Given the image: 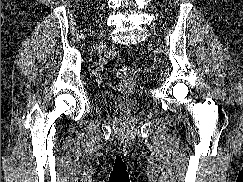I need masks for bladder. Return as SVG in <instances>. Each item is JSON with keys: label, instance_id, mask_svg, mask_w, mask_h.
I'll return each instance as SVG.
<instances>
[{"label": "bladder", "instance_id": "31cf9c89", "mask_svg": "<svg viewBox=\"0 0 243 182\" xmlns=\"http://www.w3.org/2000/svg\"><path fill=\"white\" fill-rule=\"evenodd\" d=\"M100 104L109 107H118L126 112H132L139 108L140 101L136 98H130L123 95H114L109 93L98 94Z\"/></svg>", "mask_w": 243, "mask_h": 182}]
</instances>
